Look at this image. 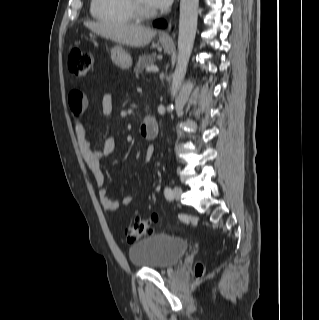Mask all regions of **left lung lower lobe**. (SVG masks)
<instances>
[{"label": "left lung lower lobe", "mask_w": 319, "mask_h": 320, "mask_svg": "<svg viewBox=\"0 0 319 320\" xmlns=\"http://www.w3.org/2000/svg\"><path fill=\"white\" fill-rule=\"evenodd\" d=\"M166 25V22L164 20H158L154 22V26L157 27H164Z\"/></svg>", "instance_id": "0a47b994"}]
</instances>
